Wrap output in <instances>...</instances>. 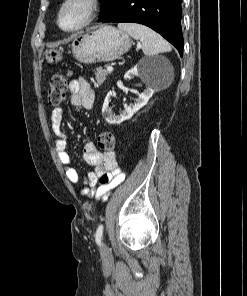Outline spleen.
<instances>
[{
    "instance_id": "3e777b00",
    "label": "spleen",
    "mask_w": 247,
    "mask_h": 296,
    "mask_svg": "<svg viewBox=\"0 0 247 296\" xmlns=\"http://www.w3.org/2000/svg\"><path fill=\"white\" fill-rule=\"evenodd\" d=\"M118 28L134 39L141 40L143 53L148 57L171 51L170 44L161 35L144 25L119 23Z\"/></svg>"
}]
</instances>
